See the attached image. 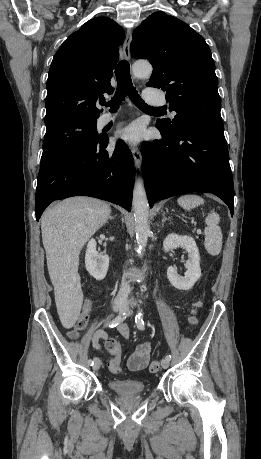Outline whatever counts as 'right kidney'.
<instances>
[{
    "label": "right kidney",
    "mask_w": 261,
    "mask_h": 459,
    "mask_svg": "<svg viewBox=\"0 0 261 459\" xmlns=\"http://www.w3.org/2000/svg\"><path fill=\"white\" fill-rule=\"evenodd\" d=\"M96 241L91 239L87 244L85 254V266L88 273L96 280H103L107 274L109 267V256L107 254L98 253L96 250Z\"/></svg>",
    "instance_id": "right-kidney-1"
}]
</instances>
